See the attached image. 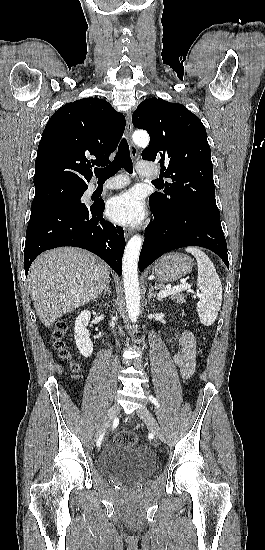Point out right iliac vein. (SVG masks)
<instances>
[{
	"instance_id": "right-iliac-vein-1",
	"label": "right iliac vein",
	"mask_w": 265,
	"mask_h": 550,
	"mask_svg": "<svg viewBox=\"0 0 265 550\" xmlns=\"http://www.w3.org/2000/svg\"><path fill=\"white\" fill-rule=\"evenodd\" d=\"M119 411H120V406L117 403L113 404L110 407L104 421L99 426L96 432L95 439H98L101 436V434L110 427V425L112 424L114 418L117 416Z\"/></svg>"
}]
</instances>
